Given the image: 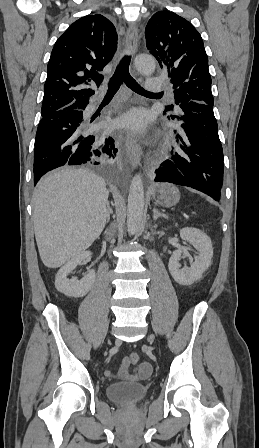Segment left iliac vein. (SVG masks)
Masks as SVG:
<instances>
[{
    "label": "left iliac vein",
    "mask_w": 259,
    "mask_h": 448,
    "mask_svg": "<svg viewBox=\"0 0 259 448\" xmlns=\"http://www.w3.org/2000/svg\"><path fill=\"white\" fill-rule=\"evenodd\" d=\"M148 341H150V342H152L153 341V338L151 337V336H148Z\"/></svg>",
    "instance_id": "left-iliac-vein-1"
}]
</instances>
